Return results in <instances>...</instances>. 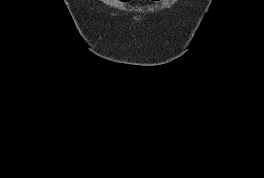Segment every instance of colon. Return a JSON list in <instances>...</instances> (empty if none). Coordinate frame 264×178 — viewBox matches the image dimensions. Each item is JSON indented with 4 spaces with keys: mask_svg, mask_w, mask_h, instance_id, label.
Instances as JSON below:
<instances>
[{
    "mask_svg": "<svg viewBox=\"0 0 264 178\" xmlns=\"http://www.w3.org/2000/svg\"><path fill=\"white\" fill-rule=\"evenodd\" d=\"M122 2H127V0H121ZM153 1H160V0H153Z\"/></svg>",
    "mask_w": 264,
    "mask_h": 178,
    "instance_id": "obj_1",
    "label": "colon"
}]
</instances>
